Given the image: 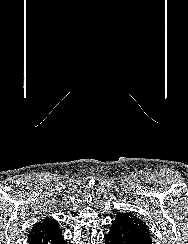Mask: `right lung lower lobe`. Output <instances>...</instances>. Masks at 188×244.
I'll list each match as a JSON object with an SVG mask.
<instances>
[{"label":"right lung lower lobe","instance_id":"obj_1","mask_svg":"<svg viewBox=\"0 0 188 244\" xmlns=\"http://www.w3.org/2000/svg\"><path fill=\"white\" fill-rule=\"evenodd\" d=\"M28 244H64L59 225L41 231L28 238Z\"/></svg>","mask_w":188,"mask_h":244}]
</instances>
